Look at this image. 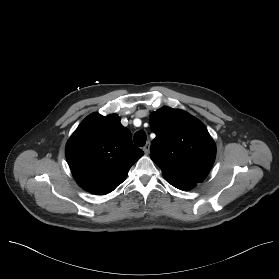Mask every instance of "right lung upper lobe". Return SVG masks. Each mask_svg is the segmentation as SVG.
I'll list each match as a JSON object with an SVG mask.
<instances>
[{"label":"right lung upper lobe","mask_w":279,"mask_h":279,"mask_svg":"<svg viewBox=\"0 0 279 279\" xmlns=\"http://www.w3.org/2000/svg\"><path fill=\"white\" fill-rule=\"evenodd\" d=\"M143 154L117 115L104 117L98 113L81 122L65 150L78 185L97 195L110 193L121 184Z\"/></svg>","instance_id":"cb5924a9"}]
</instances>
